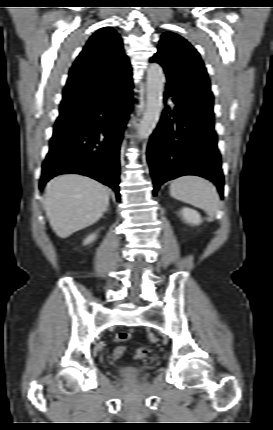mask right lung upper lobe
<instances>
[{"instance_id":"right-lung-upper-lobe-1","label":"right lung upper lobe","mask_w":273,"mask_h":430,"mask_svg":"<svg viewBox=\"0 0 273 430\" xmlns=\"http://www.w3.org/2000/svg\"><path fill=\"white\" fill-rule=\"evenodd\" d=\"M131 67L116 31L105 27L94 33L69 71L61 110L89 107L102 89L132 85Z\"/></svg>"}]
</instances>
